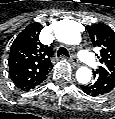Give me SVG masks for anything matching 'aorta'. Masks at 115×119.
<instances>
[{
  "label": "aorta",
  "mask_w": 115,
  "mask_h": 119,
  "mask_svg": "<svg viewBox=\"0 0 115 119\" xmlns=\"http://www.w3.org/2000/svg\"><path fill=\"white\" fill-rule=\"evenodd\" d=\"M56 38L65 44L76 45L81 42L80 32L68 22H62L55 30ZM92 77V71L85 66L76 72V79L81 84H87Z\"/></svg>",
  "instance_id": "762f6f07"
}]
</instances>
